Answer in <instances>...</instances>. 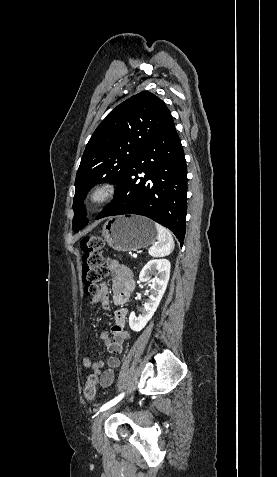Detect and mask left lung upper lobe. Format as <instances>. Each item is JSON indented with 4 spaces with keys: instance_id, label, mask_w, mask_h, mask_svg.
Returning a JSON list of instances; mask_svg holds the SVG:
<instances>
[{
    "instance_id": "left-lung-upper-lobe-1",
    "label": "left lung upper lobe",
    "mask_w": 277,
    "mask_h": 477,
    "mask_svg": "<svg viewBox=\"0 0 277 477\" xmlns=\"http://www.w3.org/2000/svg\"><path fill=\"white\" fill-rule=\"evenodd\" d=\"M165 103L148 91L114 108L91 136L75 179L73 230L87 224L83 200L100 182H123L143 147L170 121Z\"/></svg>"
}]
</instances>
